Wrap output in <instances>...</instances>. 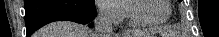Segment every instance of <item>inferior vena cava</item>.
I'll return each instance as SVG.
<instances>
[{"label": "inferior vena cava", "instance_id": "602c4592", "mask_svg": "<svg viewBox=\"0 0 219 37\" xmlns=\"http://www.w3.org/2000/svg\"><path fill=\"white\" fill-rule=\"evenodd\" d=\"M112 12L110 7H100L98 15L94 20L96 37H112Z\"/></svg>", "mask_w": 219, "mask_h": 37}]
</instances>
